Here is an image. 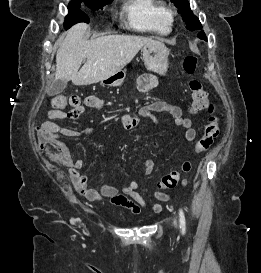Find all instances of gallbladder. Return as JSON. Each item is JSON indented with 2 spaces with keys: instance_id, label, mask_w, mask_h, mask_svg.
Returning a JSON list of instances; mask_svg holds the SVG:
<instances>
[{
  "instance_id": "1",
  "label": "gallbladder",
  "mask_w": 261,
  "mask_h": 273,
  "mask_svg": "<svg viewBox=\"0 0 261 273\" xmlns=\"http://www.w3.org/2000/svg\"><path fill=\"white\" fill-rule=\"evenodd\" d=\"M67 86V81L61 79H55L52 83L50 89L48 90V94L50 96H55L64 91Z\"/></svg>"
}]
</instances>
